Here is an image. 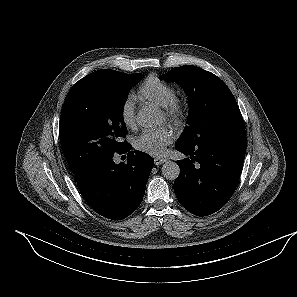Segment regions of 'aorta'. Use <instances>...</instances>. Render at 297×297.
I'll list each match as a JSON object with an SVG mask.
<instances>
[{"mask_svg":"<svg viewBox=\"0 0 297 297\" xmlns=\"http://www.w3.org/2000/svg\"><path fill=\"white\" fill-rule=\"evenodd\" d=\"M138 124L149 128L158 125L161 121L160 115L155 108L143 107L137 113ZM162 175L168 180H175L180 174V168L176 162L166 161L162 168Z\"/></svg>","mask_w":297,"mask_h":297,"instance_id":"aorta-1","label":"aorta"}]
</instances>
